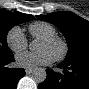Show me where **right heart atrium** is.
Masks as SVG:
<instances>
[{
    "label": "right heart atrium",
    "mask_w": 89,
    "mask_h": 89,
    "mask_svg": "<svg viewBox=\"0 0 89 89\" xmlns=\"http://www.w3.org/2000/svg\"><path fill=\"white\" fill-rule=\"evenodd\" d=\"M6 41L8 47L15 53L25 50L28 46L27 39L18 26H14L8 31Z\"/></svg>",
    "instance_id": "obj_1"
}]
</instances>
